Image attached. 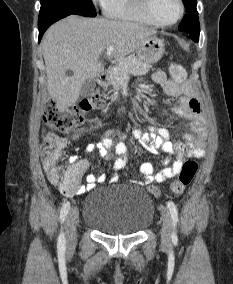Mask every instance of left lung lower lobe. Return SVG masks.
Returning <instances> with one entry per match:
<instances>
[{
	"instance_id": "obj_1",
	"label": "left lung lower lobe",
	"mask_w": 233,
	"mask_h": 284,
	"mask_svg": "<svg viewBox=\"0 0 233 284\" xmlns=\"http://www.w3.org/2000/svg\"><path fill=\"white\" fill-rule=\"evenodd\" d=\"M195 42L199 41V34H188Z\"/></svg>"
}]
</instances>
